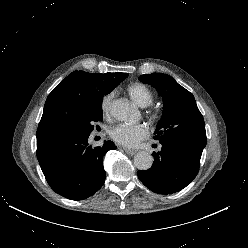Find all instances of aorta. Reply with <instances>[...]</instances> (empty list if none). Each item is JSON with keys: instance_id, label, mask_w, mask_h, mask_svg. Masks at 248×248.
Instances as JSON below:
<instances>
[{"instance_id": "762f6f07", "label": "aorta", "mask_w": 248, "mask_h": 248, "mask_svg": "<svg viewBox=\"0 0 248 248\" xmlns=\"http://www.w3.org/2000/svg\"><path fill=\"white\" fill-rule=\"evenodd\" d=\"M112 116L123 122L132 123L138 116L137 108L125 101L116 100L111 107ZM153 163V157L151 154L145 151H140L134 156V165L139 170H148Z\"/></svg>"}]
</instances>
